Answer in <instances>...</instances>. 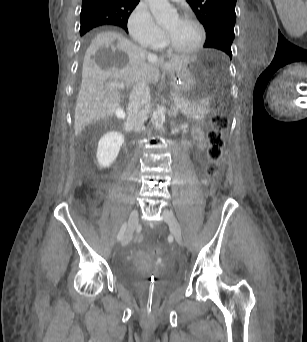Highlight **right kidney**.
I'll list each match as a JSON object with an SVG mask.
<instances>
[{"label":"right kidney","instance_id":"ca27d5eb","mask_svg":"<svg viewBox=\"0 0 307 342\" xmlns=\"http://www.w3.org/2000/svg\"><path fill=\"white\" fill-rule=\"evenodd\" d=\"M123 142L124 136L120 132H107L100 138L96 154L99 168H110L112 166Z\"/></svg>","mask_w":307,"mask_h":342}]
</instances>
